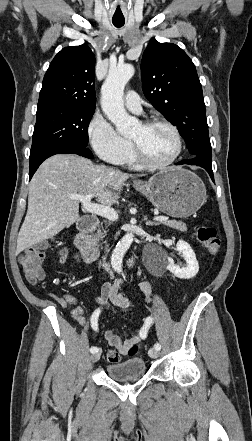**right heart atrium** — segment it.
<instances>
[{
	"label": "right heart atrium",
	"instance_id": "d8ad5b80",
	"mask_svg": "<svg viewBox=\"0 0 252 441\" xmlns=\"http://www.w3.org/2000/svg\"><path fill=\"white\" fill-rule=\"evenodd\" d=\"M87 137L97 156L116 165H123L133 150L130 141L123 138L99 112L94 113L88 123Z\"/></svg>",
	"mask_w": 252,
	"mask_h": 441
}]
</instances>
